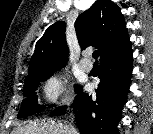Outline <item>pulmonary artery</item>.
<instances>
[{
	"instance_id": "1",
	"label": "pulmonary artery",
	"mask_w": 153,
	"mask_h": 134,
	"mask_svg": "<svg viewBox=\"0 0 153 134\" xmlns=\"http://www.w3.org/2000/svg\"><path fill=\"white\" fill-rule=\"evenodd\" d=\"M89 53H85L84 57L80 61V67L84 71H90L93 68V63L88 58Z\"/></svg>"
}]
</instances>
